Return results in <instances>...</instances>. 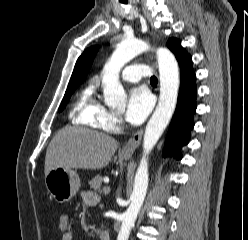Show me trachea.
<instances>
[{"label":"trachea","instance_id":"trachea-1","mask_svg":"<svg viewBox=\"0 0 248 240\" xmlns=\"http://www.w3.org/2000/svg\"><path fill=\"white\" fill-rule=\"evenodd\" d=\"M120 2L123 3V4H127V1H126V0H120ZM157 82H158L157 77L152 76V77L150 78V83H151V84H157Z\"/></svg>","mask_w":248,"mask_h":240}]
</instances>
